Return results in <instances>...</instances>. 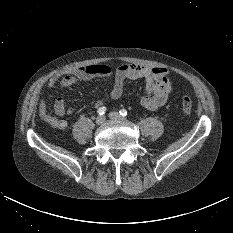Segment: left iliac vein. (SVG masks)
Here are the masks:
<instances>
[{"instance_id": "obj_1", "label": "left iliac vein", "mask_w": 233, "mask_h": 233, "mask_svg": "<svg viewBox=\"0 0 233 233\" xmlns=\"http://www.w3.org/2000/svg\"><path fill=\"white\" fill-rule=\"evenodd\" d=\"M109 118L112 120H122L123 119V117L118 112H115V111L109 113Z\"/></svg>"}]
</instances>
